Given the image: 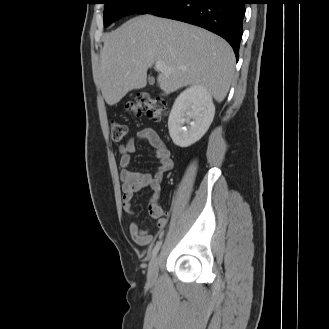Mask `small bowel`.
Wrapping results in <instances>:
<instances>
[{
	"label": "small bowel",
	"instance_id": "obj_1",
	"mask_svg": "<svg viewBox=\"0 0 329 329\" xmlns=\"http://www.w3.org/2000/svg\"><path fill=\"white\" fill-rule=\"evenodd\" d=\"M137 137L140 141L146 142L151 146L158 160V167L154 174L130 170L132 154L135 151L134 140L130 139L125 145L119 147L123 209L128 214H134L132 207L134 193L144 188H150L152 194L148 204V212L152 218L157 220V227L161 230L167 223L160 205L161 183L163 174L172 169L173 161L169 149L155 130L150 128L141 129ZM129 233L133 242L138 246L145 247L154 242V236L149 231L141 230L136 222L130 223Z\"/></svg>",
	"mask_w": 329,
	"mask_h": 329
}]
</instances>
